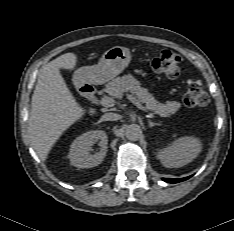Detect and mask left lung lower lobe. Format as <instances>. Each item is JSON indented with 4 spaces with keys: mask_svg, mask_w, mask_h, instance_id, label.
I'll use <instances>...</instances> for the list:
<instances>
[{
    "mask_svg": "<svg viewBox=\"0 0 234 231\" xmlns=\"http://www.w3.org/2000/svg\"><path fill=\"white\" fill-rule=\"evenodd\" d=\"M189 177H190V176H189ZM189 177L179 178V179L163 178V180H164L165 182H169V183H177V182L184 181V180L188 179Z\"/></svg>",
    "mask_w": 234,
    "mask_h": 231,
    "instance_id": "0a47b994",
    "label": "left lung lower lobe"
}]
</instances>
